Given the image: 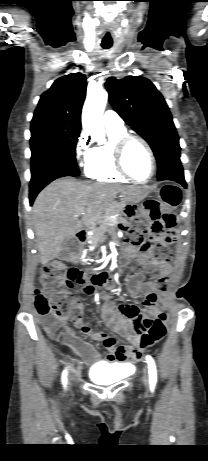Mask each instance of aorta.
<instances>
[{"label":"aorta","instance_id":"1","mask_svg":"<svg viewBox=\"0 0 208 461\" xmlns=\"http://www.w3.org/2000/svg\"><path fill=\"white\" fill-rule=\"evenodd\" d=\"M107 100L108 93L103 89L88 92L82 111L84 131L100 144L105 143L102 118Z\"/></svg>","mask_w":208,"mask_h":461}]
</instances>
